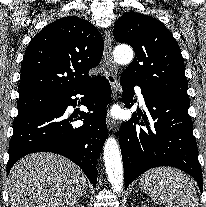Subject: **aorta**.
Returning a JSON list of instances; mask_svg holds the SVG:
<instances>
[{
    "instance_id": "obj_1",
    "label": "aorta",
    "mask_w": 206,
    "mask_h": 207,
    "mask_svg": "<svg viewBox=\"0 0 206 207\" xmlns=\"http://www.w3.org/2000/svg\"><path fill=\"white\" fill-rule=\"evenodd\" d=\"M114 60L119 64H128L133 59V50L129 46H118L113 52ZM106 173L112 189L120 193L123 189V166L119 145L114 137H109L104 145Z\"/></svg>"
}]
</instances>
